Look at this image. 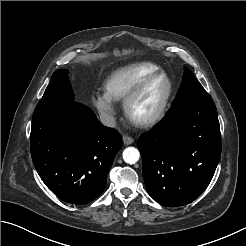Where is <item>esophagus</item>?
Returning <instances> with one entry per match:
<instances>
[{
	"label": "esophagus",
	"mask_w": 246,
	"mask_h": 246,
	"mask_svg": "<svg viewBox=\"0 0 246 246\" xmlns=\"http://www.w3.org/2000/svg\"><path fill=\"white\" fill-rule=\"evenodd\" d=\"M123 143L125 144V145H130V144H132L133 142H134V139L132 138V137H130V136H123Z\"/></svg>",
	"instance_id": "esophagus-1"
}]
</instances>
